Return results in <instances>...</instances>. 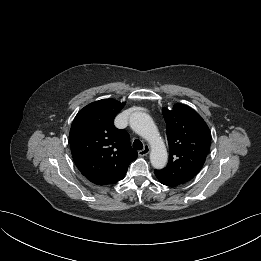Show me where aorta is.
<instances>
[{"mask_svg":"<svg viewBox=\"0 0 261 261\" xmlns=\"http://www.w3.org/2000/svg\"><path fill=\"white\" fill-rule=\"evenodd\" d=\"M131 129L146 139L150 146V161L154 168L162 169L166 166L168 160V153L163 139L159 131L150 117L144 112H134L129 119Z\"/></svg>","mask_w":261,"mask_h":261,"instance_id":"aorta-1","label":"aorta"}]
</instances>
